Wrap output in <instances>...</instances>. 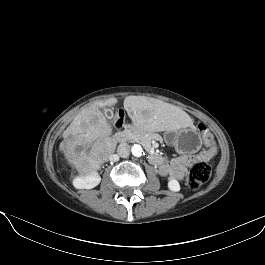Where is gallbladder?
Here are the masks:
<instances>
[{
  "label": "gallbladder",
  "instance_id": "gallbladder-1",
  "mask_svg": "<svg viewBox=\"0 0 265 265\" xmlns=\"http://www.w3.org/2000/svg\"><path fill=\"white\" fill-rule=\"evenodd\" d=\"M106 116L111 119L113 117V111L111 109L106 110Z\"/></svg>",
  "mask_w": 265,
  "mask_h": 265
}]
</instances>
